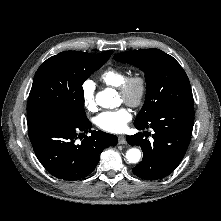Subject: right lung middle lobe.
<instances>
[{"label": "right lung middle lobe", "instance_id": "obj_1", "mask_svg": "<svg viewBox=\"0 0 221 221\" xmlns=\"http://www.w3.org/2000/svg\"><path fill=\"white\" fill-rule=\"evenodd\" d=\"M110 52H61L38 68L29 94L28 116L39 110L85 119L82 84L110 57Z\"/></svg>", "mask_w": 221, "mask_h": 221}]
</instances>
